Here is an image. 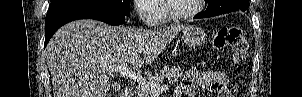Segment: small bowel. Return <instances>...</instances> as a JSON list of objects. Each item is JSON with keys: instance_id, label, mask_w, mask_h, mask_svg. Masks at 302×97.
Listing matches in <instances>:
<instances>
[{"instance_id": "c3829d8e", "label": "small bowel", "mask_w": 302, "mask_h": 97, "mask_svg": "<svg viewBox=\"0 0 302 97\" xmlns=\"http://www.w3.org/2000/svg\"><path fill=\"white\" fill-rule=\"evenodd\" d=\"M229 79L224 72L200 71L190 69L175 90V97H194L199 87L203 91L215 94L216 97H233L229 88Z\"/></svg>"}]
</instances>
